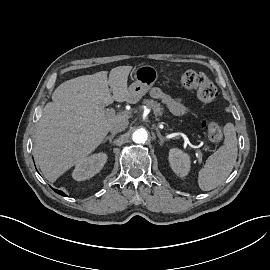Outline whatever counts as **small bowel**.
Here are the masks:
<instances>
[{
	"instance_id": "c3829d8e",
	"label": "small bowel",
	"mask_w": 270,
	"mask_h": 270,
	"mask_svg": "<svg viewBox=\"0 0 270 270\" xmlns=\"http://www.w3.org/2000/svg\"><path fill=\"white\" fill-rule=\"evenodd\" d=\"M150 95L161 100L176 115L183 116L188 113V108L180 99L168 97L159 87H153Z\"/></svg>"
}]
</instances>
